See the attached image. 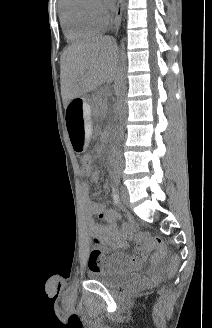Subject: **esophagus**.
Segmentation results:
<instances>
[{"label":"esophagus","instance_id":"1","mask_svg":"<svg viewBox=\"0 0 212 328\" xmlns=\"http://www.w3.org/2000/svg\"><path fill=\"white\" fill-rule=\"evenodd\" d=\"M123 7H124V0H118L117 8H116V15H115V19H114V33L115 34H117L118 29L120 27L122 13H123Z\"/></svg>","mask_w":212,"mask_h":328}]
</instances>
